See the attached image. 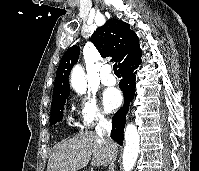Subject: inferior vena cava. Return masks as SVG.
<instances>
[{
	"instance_id": "inferior-vena-cava-1",
	"label": "inferior vena cava",
	"mask_w": 199,
	"mask_h": 171,
	"mask_svg": "<svg viewBox=\"0 0 199 171\" xmlns=\"http://www.w3.org/2000/svg\"><path fill=\"white\" fill-rule=\"evenodd\" d=\"M111 128H112L111 122L104 116H101L99 118V122L96 126V133L105 143H107L109 145L112 144V140L110 137ZM114 161L115 160H111V162L108 164L109 165L108 171H115L114 170Z\"/></svg>"
}]
</instances>
